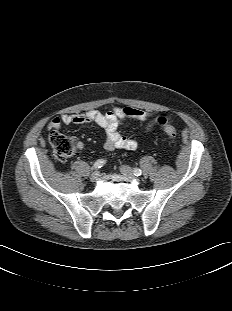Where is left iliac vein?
I'll return each instance as SVG.
<instances>
[{"label":"left iliac vein","mask_w":232,"mask_h":311,"mask_svg":"<svg viewBox=\"0 0 232 311\" xmlns=\"http://www.w3.org/2000/svg\"><path fill=\"white\" fill-rule=\"evenodd\" d=\"M120 172L125 175V176H128V177H134V174H133V171L132 169L127 166V165H123L120 167ZM135 178V177H134ZM137 181H139V179L136 178Z\"/></svg>","instance_id":"left-iliac-vein-1"}]
</instances>
